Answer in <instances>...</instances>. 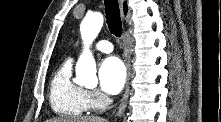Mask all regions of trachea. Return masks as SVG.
<instances>
[{
	"label": "trachea",
	"instance_id": "trachea-1",
	"mask_svg": "<svg viewBox=\"0 0 221 122\" xmlns=\"http://www.w3.org/2000/svg\"><path fill=\"white\" fill-rule=\"evenodd\" d=\"M107 24L110 32L116 37L122 34V21L117 0H104Z\"/></svg>",
	"mask_w": 221,
	"mask_h": 122
}]
</instances>
